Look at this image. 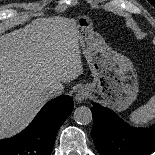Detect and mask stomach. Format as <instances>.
<instances>
[{"mask_svg":"<svg viewBox=\"0 0 155 155\" xmlns=\"http://www.w3.org/2000/svg\"><path fill=\"white\" fill-rule=\"evenodd\" d=\"M78 42L92 73L93 82L87 84L98 93L106 105L118 112L125 111L137 98L138 80L135 68L126 56L112 50L94 32L88 17L77 20Z\"/></svg>","mask_w":155,"mask_h":155,"instance_id":"1","label":"stomach"}]
</instances>
